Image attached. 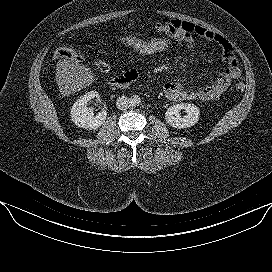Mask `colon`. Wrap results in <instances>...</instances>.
<instances>
[{
    "mask_svg": "<svg viewBox=\"0 0 272 272\" xmlns=\"http://www.w3.org/2000/svg\"><path fill=\"white\" fill-rule=\"evenodd\" d=\"M116 40L125 50L141 57L167 54L173 51L177 46L172 39L162 37H130L122 35L117 37ZM54 57L58 59L80 60L84 58V55L74 48L60 47L55 50ZM94 67L97 71L102 73H107L110 70V65L105 60L96 61ZM236 88L239 91H244L245 84L239 82L236 84Z\"/></svg>",
    "mask_w": 272,
    "mask_h": 272,
    "instance_id": "obj_1",
    "label": "colon"
}]
</instances>
